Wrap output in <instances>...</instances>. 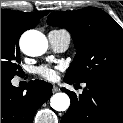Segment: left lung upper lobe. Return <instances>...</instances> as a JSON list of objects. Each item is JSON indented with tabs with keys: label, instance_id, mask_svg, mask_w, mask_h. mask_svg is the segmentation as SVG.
Returning <instances> with one entry per match:
<instances>
[{
	"label": "left lung upper lobe",
	"instance_id": "left-lung-upper-lobe-1",
	"mask_svg": "<svg viewBox=\"0 0 123 123\" xmlns=\"http://www.w3.org/2000/svg\"><path fill=\"white\" fill-rule=\"evenodd\" d=\"M47 23L67 29L77 49L65 78L79 83L123 78V29L107 13L94 7L53 12Z\"/></svg>",
	"mask_w": 123,
	"mask_h": 123
}]
</instances>
